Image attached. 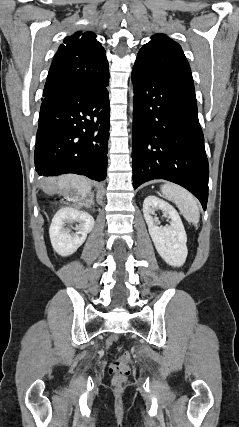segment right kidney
<instances>
[{
	"instance_id": "right-kidney-1",
	"label": "right kidney",
	"mask_w": 239,
	"mask_h": 427,
	"mask_svg": "<svg viewBox=\"0 0 239 427\" xmlns=\"http://www.w3.org/2000/svg\"><path fill=\"white\" fill-rule=\"evenodd\" d=\"M78 223L74 235H71L66 224ZM94 227L93 217L84 211L74 208H61L53 217L49 228L52 247L61 256L72 255L86 240L87 234Z\"/></svg>"
}]
</instances>
